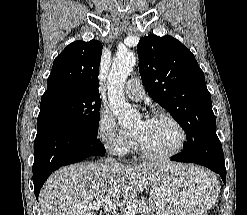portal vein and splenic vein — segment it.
<instances>
[{"mask_svg": "<svg viewBox=\"0 0 247 215\" xmlns=\"http://www.w3.org/2000/svg\"><path fill=\"white\" fill-rule=\"evenodd\" d=\"M95 210L100 208H104L106 211H113L117 209V205L114 204L110 199L103 198L99 200L94 206L92 207ZM137 210V206L133 204L132 206L128 207V209H122V215H135Z\"/></svg>", "mask_w": 247, "mask_h": 215, "instance_id": "1", "label": "portal vein and splenic vein"}]
</instances>
